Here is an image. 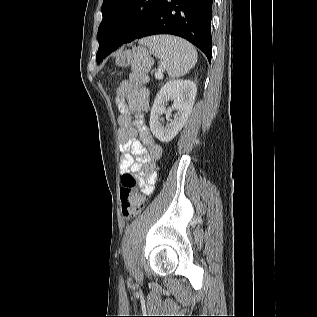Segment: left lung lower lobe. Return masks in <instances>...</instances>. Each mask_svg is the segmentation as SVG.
Returning a JSON list of instances; mask_svg holds the SVG:
<instances>
[{
  "mask_svg": "<svg viewBox=\"0 0 317 317\" xmlns=\"http://www.w3.org/2000/svg\"><path fill=\"white\" fill-rule=\"evenodd\" d=\"M212 3L213 0H162L155 14L135 39L156 34L180 36L203 51L210 62ZM118 47L116 43L105 41L101 58H105Z\"/></svg>",
  "mask_w": 317,
  "mask_h": 317,
  "instance_id": "obj_1",
  "label": "left lung lower lobe"
}]
</instances>
